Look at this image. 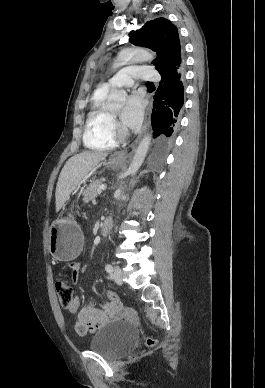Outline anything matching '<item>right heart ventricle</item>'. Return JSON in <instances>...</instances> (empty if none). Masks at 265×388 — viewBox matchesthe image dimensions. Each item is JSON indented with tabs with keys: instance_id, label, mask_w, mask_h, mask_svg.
Segmentation results:
<instances>
[{
	"instance_id": "right-heart-ventricle-1",
	"label": "right heart ventricle",
	"mask_w": 265,
	"mask_h": 388,
	"mask_svg": "<svg viewBox=\"0 0 265 388\" xmlns=\"http://www.w3.org/2000/svg\"><path fill=\"white\" fill-rule=\"evenodd\" d=\"M108 97V91H95L87 117L84 141L89 147L96 150H109L116 144L111 114L104 106Z\"/></svg>"
}]
</instances>
